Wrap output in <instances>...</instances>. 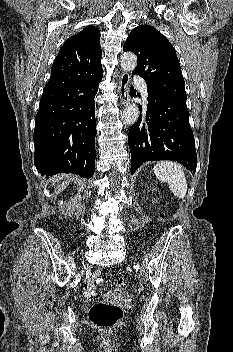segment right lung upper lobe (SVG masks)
I'll list each match as a JSON object with an SVG mask.
<instances>
[{
  "label": "right lung upper lobe",
  "instance_id": "right-lung-upper-lobe-1",
  "mask_svg": "<svg viewBox=\"0 0 233 352\" xmlns=\"http://www.w3.org/2000/svg\"><path fill=\"white\" fill-rule=\"evenodd\" d=\"M100 31L87 26L63 44L51 68L44 91L66 88L101 73Z\"/></svg>",
  "mask_w": 233,
  "mask_h": 352
}]
</instances>
